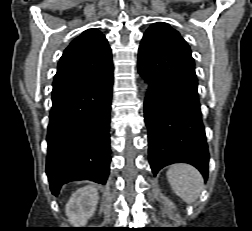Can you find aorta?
Instances as JSON below:
<instances>
[{
	"mask_svg": "<svg viewBox=\"0 0 252 231\" xmlns=\"http://www.w3.org/2000/svg\"><path fill=\"white\" fill-rule=\"evenodd\" d=\"M147 87H148V85H147V84H145V89H147Z\"/></svg>",
	"mask_w": 252,
	"mask_h": 231,
	"instance_id": "aorta-1",
	"label": "aorta"
}]
</instances>
